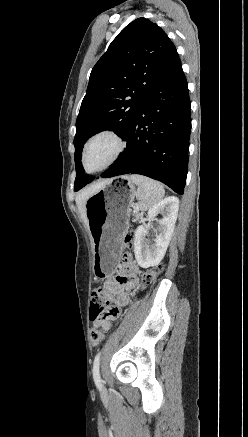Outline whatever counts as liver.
<instances>
[{
    "label": "liver",
    "mask_w": 248,
    "mask_h": 437,
    "mask_svg": "<svg viewBox=\"0 0 248 437\" xmlns=\"http://www.w3.org/2000/svg\"><path fill=\"white\" fill-rule=\"evenodd\" d=\"M106 183H107V180L97 182L95 184H92V185L84 188L83 190H81L77 194L76 204L78 206V210H79L80 215H81L83 221L85 222V224H87L86 207H85L87 199Z\"/></svg>",
    "instance_id": "obj_1"
}]
</instances>
